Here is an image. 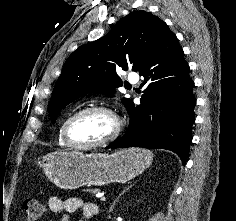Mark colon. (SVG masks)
Listing matches in <instances>:
<instances>
[{"instance_id":"1","label":"colon","mask_w":236,"mask_h":221,"mask_svg":"<svg viewBox=\"0 0 236 221\" xmlns=\"http://www.w3.org/2000/svg\"><path fill=\"white\" fill-rule=\"evenodd\" d=\"M26 221H38L44 212V206L36 199H27L22 205Z\"/></svg>"}]
</instances>
